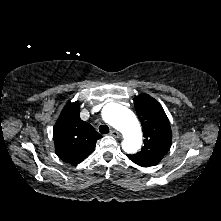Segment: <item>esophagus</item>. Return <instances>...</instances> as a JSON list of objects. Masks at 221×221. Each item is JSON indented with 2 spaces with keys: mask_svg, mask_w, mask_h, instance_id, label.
I'll return each mask as SVG.
<instances>
[{
  "mask_svg": "<svg viewBox=\"0 0 221 221\" xmlns=\"http://www.w3.org/2000/svg\"><path fill=\"white\" fill-rule=\"evenodd\" d=\"M110 135L115 138H119L121 136V134L116 130H111Z\"/></svg>",
  "mask_w": 221,
  "mask_h": 221,
  "instance_id": "34e87169",
  "label": "esophagus"
}]
</instances>
